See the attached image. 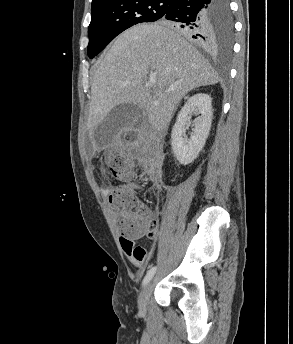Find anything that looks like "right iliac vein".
I'll list each match as a JSON object with an SVG mask.
<instances>
[{
    "mask_svg": "<svg viewBox=\"0 0 293 344\" xmlns=\"http://www.w3.org/2000/svg\"><path fill=\"white\" fill-rule=\"evenodd\" d=\"M152 291V282L145 285L138 298L139 313L144 316L147 312L148 300Z\"/></svg>",
    "mask_w": 293,
    "mask_h": 344,
    "instance_id": "1",
    "label": "right iliac vein"
}]
</instances>
